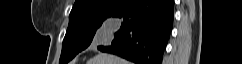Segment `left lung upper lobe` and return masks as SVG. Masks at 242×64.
Returning a JSON list of instances; mask_svg holds the SVG:
<instances>
[{"label": "left lung upper lobe", "instance_id": "obj_1", "mask_svg": "<svg viewBox=\"0 0 242 64\" xmlns=\"http://www.w3.org/2000/svg\"><path fill=\"white\" fill-rule=\"evenodd\" d=\"M128 0H76L69 15L59 64L86 49L102 23Z\"/></svg>", "mask_w": 242, "mask_h": 64}]
</instances>
